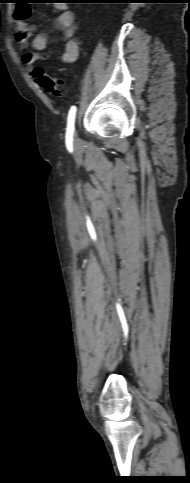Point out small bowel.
I'll list each match as a JSON object with an SVG mask.
<instances>
[{
  "label": "small bowel",
  "mask_w": 190,
  "mask_h": 483,
  "mask_svg": "<svg viewBox=\"0 0 190 483\" xmlns=\"http://www.w3.org/2000/svg\"><path fill=\"white\" fill-rule=\"evenodd\" d=\"M22 10L25 13V18L18 19L17 13ZM30 14V6L24 4L18 5L15 10L16 17V34L15 42L21 53V59L27 67H32L39 61L44 59V56L38 52H33L28 49V40L32 37L33 27L27 25L25 19ZM55 25L62 30V37L64 40L63 49L60 55V60L63 63H74L78 58L79 47L75 40L76 24L72 11L62 9L55 18ZM47 35L38 33L32 37V46L36 51H43L47 45Z\"/></svg>",
  "instance_id": "1"
}]
</instances>
